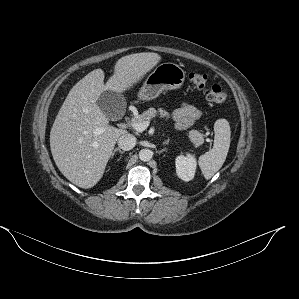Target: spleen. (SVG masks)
Masks as SVG:
<instances>
[{
  "instance_id": "obj_1",
  "label": "spleen",
  "mask_w": 299,
  "mask_h": 299,
  "mask_svg": "<svg viewBox=\"0 0 299 299\" xmlns=\"http://www.w3.org/2000/svg\"><path fill=\"white\" fill-rule=\"evenodd\" d=\"M214 145L199 157V167L205 179H211L226 160L230 147V126L226 119H218L214 124Z\"/></svg>"
}]
</instances>
